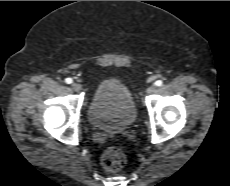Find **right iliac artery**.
<instances>
[{
	"label": "right iliac artery",
	"instance_id": "right-iliac-artery-1",
	"mask_svg": "<svg viewBox=\"0 0 230 186\" xmlns=\"http://www.w3.org/2000/svg\"><path fill=\"white\" fill-rule=\"evenodd\" d=\"M65 82H66L67 84H71V83L73 82V80H72L71 78H66V79H65Z\"/></svg>",
	"mask_w": 230,
	"mask_h": 186
}]
</instances>
